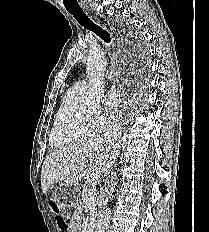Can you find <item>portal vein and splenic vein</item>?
<instances>
[{
	"instance_id": "1",
	"label": "portal vein and splenic vein",
	"mask_w": 209,
	"mask_h": 232,
	"mask_svg": "<svg viewBox=\"0 0 209 232\" xmlns=\"http://www.w3.org/2000/svg\"><path fill=\"white\" fill-rule=\"evenodd\" d=\"M95 195L96 189L94 187H91L86 194V202L94 200Z\"/></svg>"
}]
</instances>
